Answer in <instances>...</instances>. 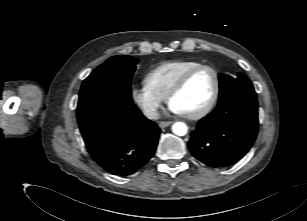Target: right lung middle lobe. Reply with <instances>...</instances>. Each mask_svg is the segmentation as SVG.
<instances>
[{"instance_id":"dd1d6c3e","label":"right lung middle lobe","mask_w":307,"mask_h":221,"mask_svg":"<svg viewBox=\"0 0 307 221\" xmlns=\"http://www.w3.org/2000/svg\"><path fill=\"white\" fill-rule=\"evenodd\" d=\"M138 59L114 56L97 67L81 86L77 107L78 122L109 106L133 104L131 78Z\"/></svg>"}]
</instances>
